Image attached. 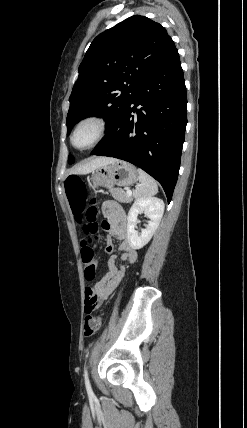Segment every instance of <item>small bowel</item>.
I'll return each mask as SVG.
<instances>
[{
	"label": "small bowel",
	"mask_w": 247,
	"mask_h": 428,
	"mask_svg": "<svg viewBox=\"0 0 247 428\" xmlns=\"http://www.w3.org/2000/svg\"><path fill=\"white\" fill-rule=\"evenodd\" d=\"M102 213L106 219L105 228L120 241L119 251L121 260L134 263L137 260V252L128 241L127 217L123 208L115 201H106L102 204ZM105 251L108 254V272L94 285L85 288V301L94 298L103 302L116 289L125 274V267L117 264V255L114 247L107 243Z\"/></svg>",
	"instance_id": "small-bowel-1"
}]
</instances>
